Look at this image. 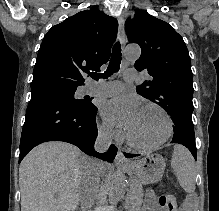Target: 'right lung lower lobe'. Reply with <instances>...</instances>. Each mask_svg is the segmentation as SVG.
<instances>
[{
	"label": "right lung lower lobe",
	"instance_id": "98d812e1",
	"mask_svg": "<svg viewBox=\"0 0 219 211\" xmlns=\"http://www.w3.org/2000/svg\"><path fill=\"white\" fill-rule=\"evenodd\" d=\"M31 93L21 134L19 163L33 147L47 141L68 142L88 155L113 161L116 146L111 145L106 153L94 150L97 107L90 100V105L73 104L56 88H35Z\"/></svg>",
	"mask_w": 219,
	"mask_h": 211
}]
</instances>
